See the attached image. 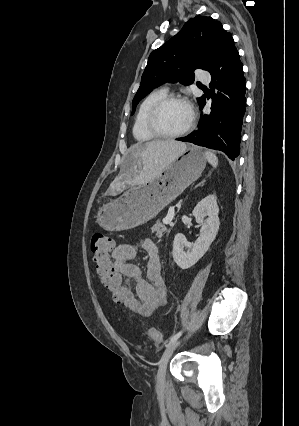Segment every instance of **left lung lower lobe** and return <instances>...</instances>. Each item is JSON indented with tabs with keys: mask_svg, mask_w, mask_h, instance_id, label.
I'll return each mask as SVG.
<instances>
[{
	"mask_svg": "<svg viewBox=\"0 0 299 426\" xmlns=\"http://www.w3.org/2000/svg\"><path fill=\"white\" fill-rule=\"evenodd\" d=\"M210 74L211 113L201 115L197 131L176 140L220 150L234 160L240 152L246 104V82L237 49L223 58ZM199 104L203 109L206 104L205 97Z\"/></svg>",
	"mask_w": 299,
	"mask_h": 426,
	"instance_id": "1",
	"label": "left lung lower lobe"
}]
</instances>
